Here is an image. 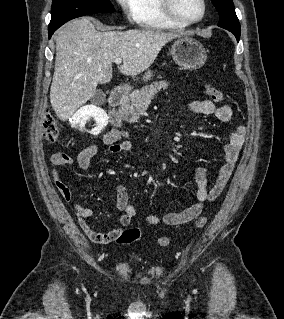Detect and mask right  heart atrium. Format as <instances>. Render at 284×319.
<instances>
[{
  "label": "right heart atrium",
  "mask_w": 284,
  "mask_h": 319,
  "mask_svg": "<svg viewBox=\"0 0 284 319\" xmlns=\"http://www.w3.org/2000/svg\"><path fill=\"white\" fill-rule=\"evenodd\" d=\"M129 22H136L138 0H115Z\"/></svg>",
  "instance_id": "right-heart-atrium-1"
}]
</instances>
